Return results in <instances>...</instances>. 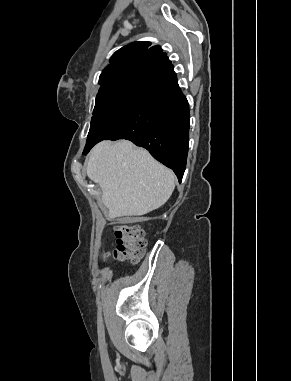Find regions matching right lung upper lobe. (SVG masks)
<instances>
[{
    "label": "right lung upper lobe",
    "mask_w": 291,
    "mask_h": 381,
    "mask_svg": "<svg viewBox=\"0 0 291 381\" xmlns=\"http://www.w3.org/2000/svg\"><path fill=\"white\" fill-rule=\"evenodd\" d=\"M150 45V42L138 41L116 51L110 59V64L100 75V90L117 85L128 78H143L171 64L159 45Z\"/></svg>",
    "instance_id": "obj_1"
}]
</instances>
